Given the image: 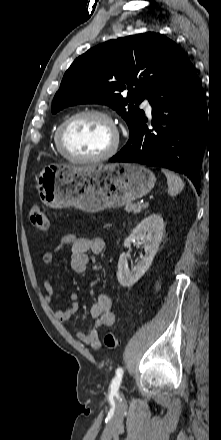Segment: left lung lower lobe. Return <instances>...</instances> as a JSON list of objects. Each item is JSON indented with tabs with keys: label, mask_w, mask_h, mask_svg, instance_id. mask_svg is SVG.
<instances>
[{
	"label": "left lung lower lobe",
	"mask_w": 221,
	"mask_h": 440,
	"mask_svg": "<svg viewBox=\"0 0 221 440\" xmlns=\"http://www.w3.org/2000/svg\"><path fill=\"white\" fill-rule=\"evenodd\" d=\"M154 128L144 117L111 162L165 167L186 175L200 193V168L208 136L207 106L201 82L182 55L149 98Z\"/></svg>",
	"instance_id": "1"
}]
</instances>
